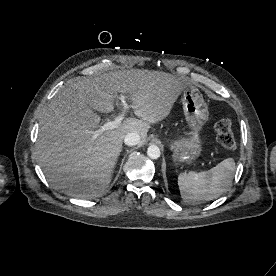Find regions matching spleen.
I'll list each match as a JSON object with an SVG mask.
<instances>
[{
    "label": "spleen",
    "mask_w": 276,
    "mask_h": 276,
    "mask_svg": "<svg viewBox=\"0 0 276 276\" xmlns=\"http://www.w3.org/2000/svg\"><path fill=\"white\" fill-rule=\"evenodd\" d=\"M236 164L227 158L208 171L180 173L178 186L186 203H203L218 198L230 186Z\"/></svg>",
    "instance_id": "1"
}]
</instances>
